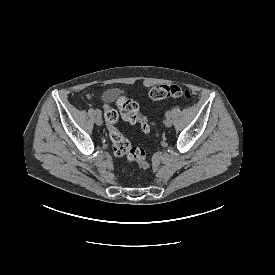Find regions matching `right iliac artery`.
<instances>
[{"mask_svg":"<svg viewBox=\"0 0 275 275\" xmlns=\"http://www.w3.org/2000/svg\"><path fill=\"white\" fill-rule=\"evenodd\" d=\"M94 112H95L96 115H97V114H100V115H101V112H100V110H98V109H96Z\"/></svg>","mask_w":275,"mask_h":275,"instance_id":"82829eb1","label":"right iliac artery"}]
</instances>
